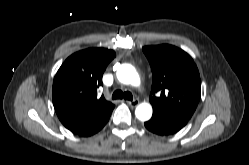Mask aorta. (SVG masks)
Instances as JSON below:
<instances>
[{
    "instance_id": "obj_1",
    "label": "aorta",
    "mask_w": 249,
    "mask_h": 165,
    "mask_svg": "<svg viewBox=\"0 0 249 165\" xmlns=\"http://www.w3.org/2000/svg\"><path fill=\"white\" fill-rule=\"evenodd\" d=\"M117 78L123 84L140 85V77L135 68L130 65L121 66L117 70ZM135 115L141 121L149 120L152 116V106L149 103H141L136 107Z\"/></svg>"
}]
</instances>
